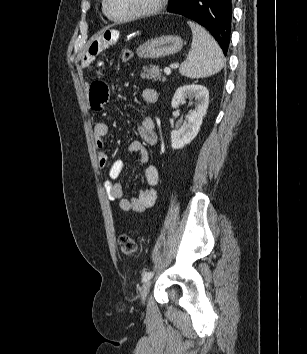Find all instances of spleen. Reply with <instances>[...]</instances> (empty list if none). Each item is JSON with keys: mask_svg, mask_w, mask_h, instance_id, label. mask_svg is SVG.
Returning <instances> with one entry per match:
<instances>
[{"mask_svg": "<svg viewBox=\"0 0 307 354\" xmlns=\"http://www.w3.org/2000/svg\"><path fill=\"white\" fill-rule=\"evenodd\" d=\"M193 40L191 50L179 71L189 78H204L218 73L223 67V54L215 39L201 26L188 22Z\"/></svg>", "mask_w": 307, "mask_h": 354, "instance_id": "3e777b00", "label": "spleen"}]
</instances>
